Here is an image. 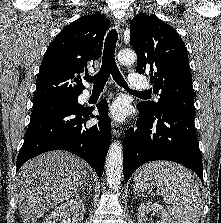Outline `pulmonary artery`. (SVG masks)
Listing matches in <instances>:
<instances>
[{"label":"pulmonary artery","instance_id":"pulmonary-artery-1","mask_svg":"<svg viewBox=\"0 0 221 223\" xmlns=\"http://www.w3.org/2000/svg\"><path fill=\"white\" fill-rule=\"evenodd\" d=\"M129 83L132 87L138 89H146L149 85L148 81L144 77H140L135 73H131L129 75ZM90 96V92L85 94V97L88 98ZM157 97V96H156ZM158 98V97H157Z\"/></svg>","mask_w":221,"mask_h":223}]
</instances>
